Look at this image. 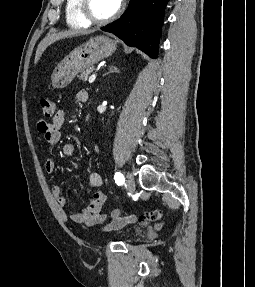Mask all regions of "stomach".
I'll use <instances>...</instances> for the list:
<instances>
[{
  "mask_svg": "<svg viewBox=\"0 0 255 287\" xmlns=\"http://www.w3.org/2000/svg\"><path fill=\"white\" fill-rule=\"evenodd\" d=\"M116 44V40H111V38H106V36H96V38H90L85 44L77 46L67 56L66 68L53 74L54 88H65V86L71 84L79 72H83V70L91 68V66L101 62L104 58L112 56L113 52L117 50Z\"/></svg>",
  "mask_w": 255,
  "mask_h": 287,
  "instance_id": "stomach-1",
  "label": "stomach"
}]
</instances>
